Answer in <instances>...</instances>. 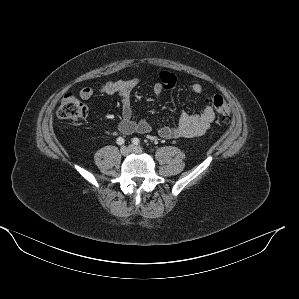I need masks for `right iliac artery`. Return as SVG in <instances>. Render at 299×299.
I'll list each match as a JSON object with an SVG mask.
<instances>
[{"label": "right iliac artery", "mask_w": 299, "mask_h": 299, "mask_svg": "<svg viewBox=\"0 0 299 299\" xmlns=\"http://www.w3.org/2000/svg\"><path fill=\"white\" fill-rule=\"evenodd\" d=\"M116 142H117L118 145H122V144L125 143V140L122 137H118L117 140H116Z\"/></svg>", "instance_id": "1"}]
</instances>
